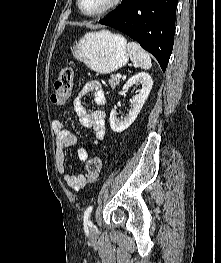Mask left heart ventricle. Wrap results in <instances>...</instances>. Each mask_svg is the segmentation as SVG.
<instances>
[{
	"instance_id": "obj_1",
	"label": "left heart ventricle",
	"mask_w": 221,
	"mask_h": 263,
	"mask_svg": "<svg viewBox=\"0 0 221 263\" xmlns=\"http://www.w3.org/2000/svg\"><path fill=\"white\" fill-rule=\"evenodd\" d=\"M110 0H82L83 9L87 12H96L104 8Z\"/></svg>"
}]
</instances>
